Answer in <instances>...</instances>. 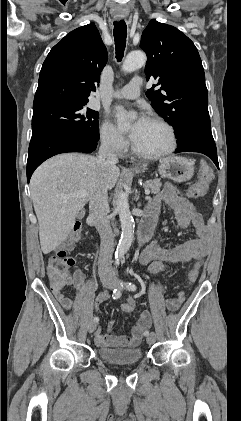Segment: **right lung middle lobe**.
Listing matches in <instances>:
<instances>
[{
  "instance_id": "right-lung-middle-lobe-1",
  "label": "right lung middle lobe",
  "mask_w": 241,
  "mask_h": 421,
  "mask_svg": "<svg viewBox=\"0 0 241 421\" xmlns=\"http://www.w3.org/2000/svg\"><path fill=\"white\" fill-rule=\"evenodd\" d=\"M85 105L56 102L34 107L32 138L50 132H68L98 141L99 114Z\"/></svg>"
}]
</instances>
